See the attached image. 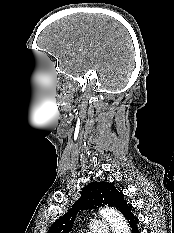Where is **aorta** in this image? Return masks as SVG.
Segmentation results:
<instances>
[{"label": "aorta", "instance_id": "obj_1", "mask_svg": "<svg viewBox=\"0 0 174 233\" xmlns=\"http://www.w3.org/2000/svg\"><path fill=\"white\" fill-rule=\"evenodd\" d=\"M99 213L110 224L113 233H130L128 223L115 209L105 207L100 209Z\"/></svg>", "mask_w": 174, "mask_h": 233}]
</instances>
